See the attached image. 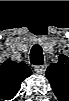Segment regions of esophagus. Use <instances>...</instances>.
<instances>
[{
    "label": "esophagus",
    "mask_w": 69,
    "mask_h": 101,
    "mask_svg": "<svg viewBox=\"0 0 69 101\" xmlns=\"http://www.w3.org/2000/svg\"><path fill=\"white\" fill-rule=\"evenodd\" d=\"M45 69H46L45 65H40V66H35L34 67L35 72L38 73V74H44Z\"/></svg>",
    "instance_id": "34e87169"
}]
</instances>
